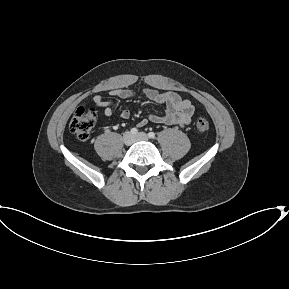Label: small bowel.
<instances>
[{
    "mask_svg": "<svg viewBox=\"0 0 289 289\" xmlns=\"http://www.w3.org/2000/svg\"><path fill=\"white\" fill-rule=\"evenodd\" d=\"M109 93L111 96L121 100L135 96L134 91L128 88L114 89ZM144 96L151 102L164 104L166 109L162 115L149 114L146 119L140 122V125H144L148 121H151L154 123L184 126L191 122L194 106L189 100L182 99L177 93L172 91L160 93L153 89H146L144 91ZM93 102L97 107L103 110L105 116L109 117L112 115V102L106 101L101 95H96ZM120 117L128 119L130 117L129 110H122L120 112Z\"/></svg>",
    "mask_w": 289,
    "mask_h": 289,
    "instance_id": "c3829d8e",
    "label": "small bowel"
}]
</instances>
